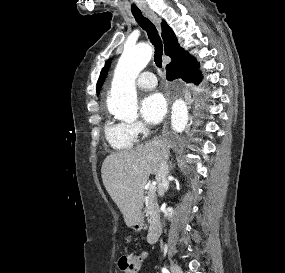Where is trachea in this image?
<instances>
[{"label":"trachea","instance_id":"obj_1","mask_svg":"<svg viewBox=\"0 0 285 273\" xmlns=\"http://www.w3.org/2000/svg\"><path fill=\"white\" fill-rule=\"evenodd\" d=\"M135 20L144 29L154 45V62L158 68L162 67L163 45L155 25L142 12H132Z\"/></svg>","mask_w":285,"mask_h":273}]
</instances>
